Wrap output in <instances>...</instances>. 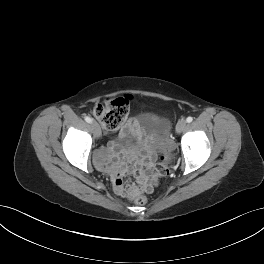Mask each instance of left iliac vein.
I'll use <instances>...</instances> for the list:
<instances>
[{"label": "left iliac vein", "instance_id": "4c4485c4", "mask_svg": "<svg viewBox=\"0 0 264 264\" xmlns=\"http://www.w3.org/2000/svg\"><path fill=\"white\" fill-rule=\"evenodd\" d=\"M185 126H186V121L183 120V119L182 120H179L178 123H177V125H176V131L178 133H180L185 128Z\"/></svg>", "mask_w": 264, "mask_h": 264}]
</instances>
